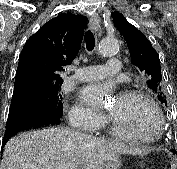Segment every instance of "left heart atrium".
<instances>
[{"label":"left heart atrium","instance_id":"left-heart-atrium-1","mask_svg":"<svg viewBox=\"0 0 177 169\" xmlns=\"http://www.w3.org/2000/svg\"><path fill=\"white\" fill-rule=\"evenodd\" d=\"M114 91L110 83L91 84L84 87L80 92V97L83 102L93 108H101L104 103V98Z\"/></svg>","mask_w":177,"mask_h":169}]
</instances>
